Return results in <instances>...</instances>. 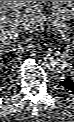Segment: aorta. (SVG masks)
I'll list each match as a JSON object with an SVG mask.
<instances>
[{
  "label": "aorta",
  "mask_w": 74,
  "mask_h": 122,
  "mask_svg": "<svg viewBox=\"0 0 74 122\" xmlns=\"http://www.w3.org/2000/svg\"><path fill=\"white\" fill-rule=\"evenodd\" d=\"M45 67L52 73H61L66 67V57L57 50H49L43 59Z\"/></svg>",
  "instance_id": "aorta-1"
}]
</instances>
